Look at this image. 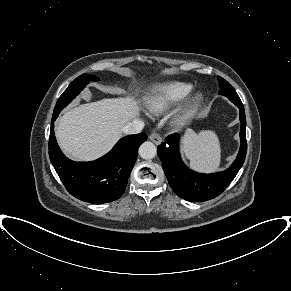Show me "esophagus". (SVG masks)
<instances>
[{"label": "esophagus", "mask_w": 291, "mask_h": 291, "mask_svg": "<svg viewBox=\"0 0 291 291\" xmlns=\"http://www.w3.org/2000/svg\"><path fill=\"white\" fill-rule=\"evenodd\" d=\"M149 139L154 142L156 145H159L161 142H162V138L160 137V135L153 131L150 136H149Z\"/></svg>", "instance_id": "1"}]
</instances>
